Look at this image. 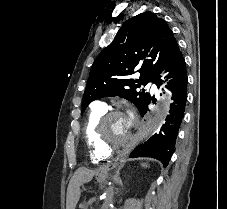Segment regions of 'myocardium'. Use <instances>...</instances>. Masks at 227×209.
Listing matches in <instances>:
<instances>
[{
	"label": "myocardium",
	"mask_w": 227,
	"mask_h": 209,
	"mask_svg": "<svg viewBox=\"0 0 227 209\" xmlns=\"http://www.w3.org/2000/svg\"><path fill=\"white\" fill-rule=\"evenodd\" d=\"M116 116H122V113L118 110H106L104 114L97 120L94 129V136L97 145L101 148L103 152L108 154H112L116 151H119L121 148H124L130 143V141L134 137V133L131 130L130 136L124 141L110 144L105 140L103 135L104 126L108 120Z\"/></svg>",
	"instance_id": "obj_1"
}]
</instances>
